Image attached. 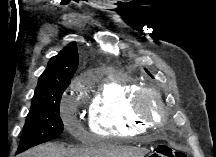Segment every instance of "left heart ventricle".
<instances>
[{
	"mask_svg": "<svg viewBox=\"0 0 216 157\" xmlns=\"http://www.w3.org/2000/svg\"><path fill=\"white\" fill-rule=\"evenodd\" d=\"M152 110H153L154 112H158V109H157V108H152Z\"/></svg>",
	"mask_w": 216,
	"mask_h": 157,
	"instance_id": "b2bd125f",
	"label": "left heart ventricle"
}]
</instances>
